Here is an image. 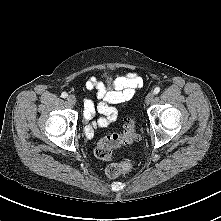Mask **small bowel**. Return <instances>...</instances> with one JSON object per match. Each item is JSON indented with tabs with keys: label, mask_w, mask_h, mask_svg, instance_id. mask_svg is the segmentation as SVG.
<instances>
[{
	"label": "small bowel",
	"mask_w": 221,
	"mask_h": 221,
	"mask_svg": "<svg viewBox=\"0 0 221 221\" xmlns=\"http://www.w3.org/2000/svg\"><path fill=\"white\" fill-rule=\"evenodd\" d=\"M142 83V78L134 71L125 75L118 74L110 82H102L95 77L87 79L85 81L86 89L94 90L99 102L95 104L89 99L85 101L86 137L92 139L97 128L106 127L114 122L117 118V110L114 105L130 100ZM96 112L102 116L95 119Z\"/></svg>",
	"instance_id": "1"
}]
</instances>
